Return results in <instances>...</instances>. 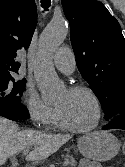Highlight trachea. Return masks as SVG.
<instances>
[{"mask_svg": "<svg viewBox=\"0 0 125 167\" xmlns=\"http://www.w3.org/2000/svg\"><path fill=\"white\" fill-rule=\"evenodd\" d=\"M41 5L45 10H48L51 5V0H41Z\"/></svg>", "mask_w": 125, "mask_h": 167, "instance_id": "obj_1", "label": "trachea"}]
</instances>
